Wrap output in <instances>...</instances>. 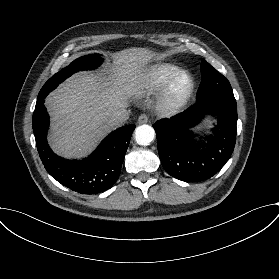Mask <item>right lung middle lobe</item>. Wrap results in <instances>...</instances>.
Returning <instances> with one entry per match:
<instances>
[{
	"label": "right lung middle lobe",
	"mask_w": 279,
	"mask_h": 279,
	"mask_svg": "<svg viewBox=\"0 0 279 279\" xmlns=\"http://www.w3.org/2000/svg\"><path fill=\"white\" fill-rule=\"evenodd\" d=\"M103 59L98 54L82 56L74 60L70 65L56 73L42 87L38 97L47 96L49 92L55 89L59 83L70 77L73 73L81 70L95 69L102 63Z\"/></svg>",
	"instance_id": "1"
}]
</instances>
